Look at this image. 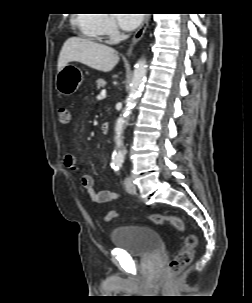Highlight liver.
<instances>
[{"label": "liver", "instance_id": "6515ba94", "mask_svg": "<svg viewBox=\"0 0 252 303\" xmlns=\"http://www.w3.org/2000/svg\"><path fill=\"white\" fill-rule=\"evenodd\" d=\"M119 61L118 53L111 47L89 39H67L58 58V72L69 62H79L93 69L109 72Z\"/></svg>", "mask_w": 252, "mask_h": 303}]
</instances>
